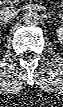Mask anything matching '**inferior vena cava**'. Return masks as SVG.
Masks as SVG:
<instances>
[{
  "instance_id": "1",
  "label": "inferior vena cava",
  "mask_w": 63,
  "mask_h": 107,
  "mask_svg": "<svg viewBox=\"0 0 63 107\" xmlns=\"http://www.w3.org/2000/svg\"><path fill=\"white\" fill-rule=\"evenodd\" d=\"M18 14V11L13 6L3 7L0 10V20L2 22L12 21Z\"/></svg>"
}]
</instances>
